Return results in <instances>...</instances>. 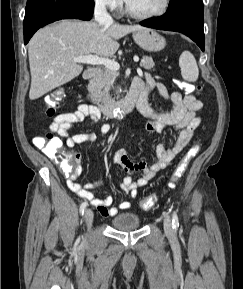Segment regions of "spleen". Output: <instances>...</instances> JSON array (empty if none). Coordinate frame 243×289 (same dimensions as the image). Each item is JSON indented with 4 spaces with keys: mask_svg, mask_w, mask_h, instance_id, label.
<instances>
[{
    "mask_svg": "<svg viewBox=\"0 0 243 289\" xmlns=\"http://www.w3.org/2000/svg\"><path fill=\"white\" fill-rule=\"evenodd\" d=\"M181 75L184 80L195 82L198 79L199 69L195 57L189 51H184L179 58Z\"/></svg>",
    "mask_w": 243,
    "mask_h": 289,
    "instance_id": "1",
    "label": "spleen"
}]
</instances>
